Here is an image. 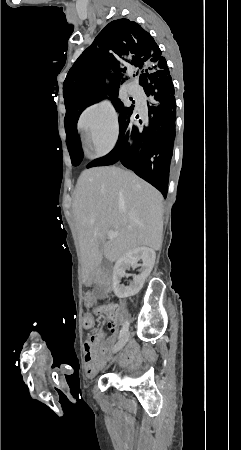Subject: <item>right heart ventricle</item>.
<instances>
[{
	"label": "right heart ventricle",
	"mask_w": 241,
	"mask_h": 450,
	"mask_svg": "<svg viewBox=\"0 0 241 450\" xmlns=\"http://www.w3.org/2000/svg\"><path fill=\"white\" fill-rule=\"evenodd\" d=\"M85 137H86L85 127H84V125H83V127H82V138H83L84 145H85V147H86ZM86 139H87V137H86Z\"/></svg>",
	"instance_id": "e07e8e85"
}]
</instances>
